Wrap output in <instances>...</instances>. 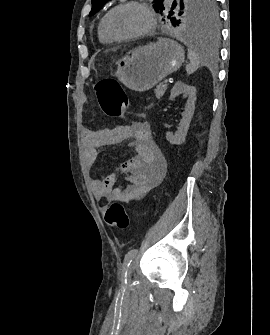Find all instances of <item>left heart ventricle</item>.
Returning a JSON list of instances; mask_svg holds the SVG:
<instances>
[{
    "instance_id": "b2bd125f",
    "label": "left heart ventricle",
    "mask_w": 270,
    "mask_h": 335,
    "mask_svg": "<svg viewBox=\"0 0 270 335\" xmlns=\"http://www.w3.org/2000/svg\"><path fill=\"white\" fill-rule=\"evenodd\" d=\"M148 24V17L138 5H124L110 18L111 29L121 35L141 32L148 27Z\"/></svg>"
}]
</instances>
